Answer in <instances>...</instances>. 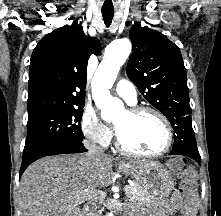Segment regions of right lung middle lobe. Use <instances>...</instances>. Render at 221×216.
Returning <instances> with one entry per match:
<instances>
[{
	"label": "right lung middle lobe",
	"mask_w": 221,
	"mask_h": 216,
	"mask_svg": "<svg viewBox=\"0 0 221 216\" xmlns=\"http://www.w3.org/2000/svg\"><path fill=\"white\" fill-rule=\"evenodd\" d=\"M83 107L84 104L69 106L28 117L23 159L51 146L66 142H82L84 135L80 122Z\"/></svg>",
	"instance_id": "right-lung-middle-lobe-1"
}]
</instances>
